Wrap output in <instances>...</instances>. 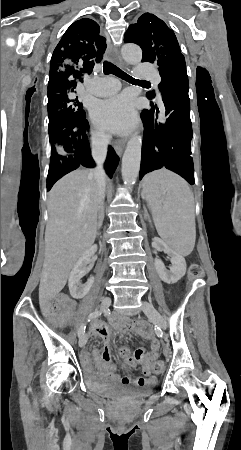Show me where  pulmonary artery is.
<instances>
[{"mask_svg": "<svg viewBox=\"0 0 241 450\" xmlns=\"http://www.w3.org/2000/svg\"><path fill=\"white\" fill-rule=\"evenodd\" d=\"M137 71L139 72L140 80H144L145 84H155L154 86L158 88L159 78L156 71H148V66L146 64H139L137 66ZM119 80L117 78H89L88 86L90 92H101L97 96L105 97L111 94V92H116L118 90Z\"/></svg>", "mask_w": 241, "mask_h": 450, "instance_id": "obj_1", "label": "pulmonary artery"}]
</instances>
